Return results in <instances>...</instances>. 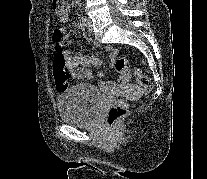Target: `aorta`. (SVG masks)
Here are the masks:
<instances>
[{
    "label": "aorta",
    "instance_id": "obj_1",
    "mask_svg": "<svg viewBox=\"0 0 207 179\" xmlns=\"http://www.w3.org/2000/svg\"><path fill=\"white\" fill-rule=\"evenodd\" d=\"M80 1H81V0H75V2H76L77 4H79V3H80Z\"/></svg>",
    "mask_w": 207,
    "mask_h": 179
}]
</instances>
